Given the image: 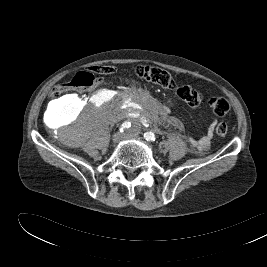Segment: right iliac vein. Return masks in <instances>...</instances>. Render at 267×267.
Instances as JSON below:
<instances>
[{"mask_svg": "<svg viewBox=\"0 0 267 267\" xmlns=\"http://www.w3.org/2000/svg\"><path fill=\"white\" fill-rule=\"evenodd\" d=\"M122 138H123V134L120 132H117L113 135L112 140L114 143H118Z\"/></svg>", "mask_w": 267, "mask_h": 267, "instance_id": "right-iliac-vein-1", "label": "right iliac vein"}]
</instances>
